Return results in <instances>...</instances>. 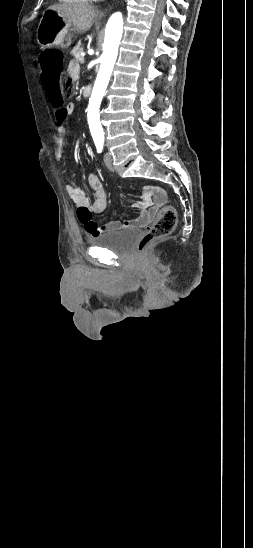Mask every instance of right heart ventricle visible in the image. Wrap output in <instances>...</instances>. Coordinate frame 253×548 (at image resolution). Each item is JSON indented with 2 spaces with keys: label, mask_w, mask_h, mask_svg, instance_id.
Wrapping results in <instances>:
<instances>
[{
  "label": "right heart ventricle",
  "mask_w": 253,
  "mask_h": 548,
  "mask_svg": "<svg viewBox=\"0 0 253 548\" xmlns=\"http://www.w3.org/2000/svg\"><path fill=\"white\" fill-rule=\"evenodd\" d=\"M61 2H65V3H75V4H78V3H86L88 1H91V0H60Z\"/></svg>",
  "instance_id": "e07e8e85"
}]
</instances>
